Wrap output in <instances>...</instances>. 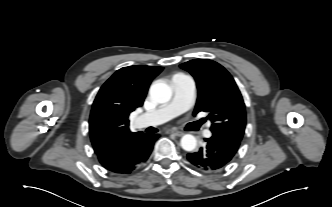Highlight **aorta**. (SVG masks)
Masks as SVG:
<instances>
[{
  "instance_id": "1",
  "label": "aorta",
  "mask_w": 332,
  "mask_h": 207,
  "mask_svg": "<svg viewBox=\"0 0 332 207\" xmlns=\"http://www.w3.org/2000/svg\"><path fill=\"white\" fill-rule=\"evenodd\" d=\"M149 93L151 99L157 103H166L172 97L170 86L161 82L152 84ZM180 144L185 151H193L197 146V140L193 135L186 134L181 138Z\"/></svg>"
}]
</instances>
